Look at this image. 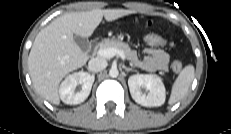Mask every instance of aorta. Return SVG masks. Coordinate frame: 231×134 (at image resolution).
<instances>
[{
  "instance_id": "aorta-1",
  "label": "aorta",
  "mask_w": 231,
  "mask_h": 134,
  "mask_svg": "<svg viewBox=\"0 0 231 134\" xmlns=\"http://www.w3.org/2000/svg\"><path fill=\"white\" fill-rule=\"evenodd\" d=\"M119 75V71L117 68L113 67L109 70V76L112 78H116Z\"/></svg>"
}]
</instances>
